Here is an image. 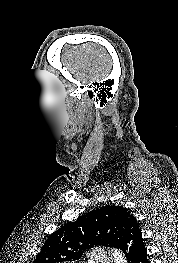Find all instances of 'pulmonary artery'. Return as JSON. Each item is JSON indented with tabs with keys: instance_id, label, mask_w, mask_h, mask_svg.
I'll list each match as a JSON object with an SVG mask.
<instances>
[{
	"instance_id": "pulmonary-artery-1",
	"label": "pulmonary artery",
	"mask_w": 178,
	"mask_h": 263,
	"mask_svg": "<svg viewBox=\"0 0 178 263\" xmlns=\"http://www.w3.org/2000/svg\"><path fill=\"white\" fill-rule=\"evenodd\" d=\"M91 258L97 263L98 262L109 263V257L102 249L99 248L92 250Z\"/></svg>"
}]
</instances>
